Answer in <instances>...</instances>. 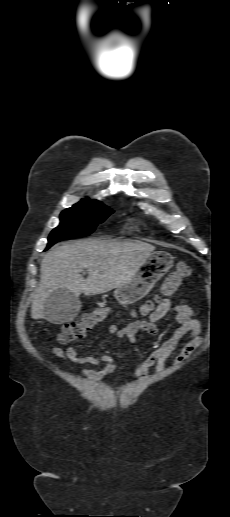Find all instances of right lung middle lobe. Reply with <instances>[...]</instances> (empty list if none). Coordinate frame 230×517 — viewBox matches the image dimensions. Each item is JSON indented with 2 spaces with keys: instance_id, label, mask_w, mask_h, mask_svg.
Masks as SVG:
<instances>
[{
  "instance_id": "dd1d6c3e",
  "label": "right lung middle lobe",
  "mask_w": 230,
  "mask_h": 517,
  "mask_svg": "<svg viewBox=\"0 0 230 517\" xmlns=\"http://www.w3.org/2000/svg\"><path fill=\"white\" fill-rule=\"evenodd\" d=\"M113 213L100 202L89 200L79 202L60 214V225L49 235L47 248L65 239L79 238L91 234L98 224Z\"/></svg>"
}]
</instances>
